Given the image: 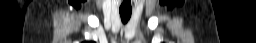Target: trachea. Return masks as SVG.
<instances>
[{"instance_id":"1","label":"trachea","mask_w":256,"mask_h":43,"mask_svg":"<svg viewBox=\"0 0 256 43\" xmlns=\"http://www.w3.org/2000/svg\"><path fill=\"white\" fill-rule=\"evenodd\" d=\"M120 17L123 24H126L131 17L132 10H119Z\"/></svg>"}]
</instances>
